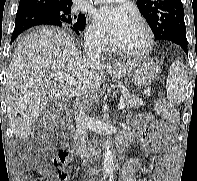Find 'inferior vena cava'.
<instances>
[{
    "label": "inferior vena cava",
    "instance_id": "inferior-vena-cava-1",
    "mask_svg": "<svg viewBox=\"0 0 197 181\" xmlns=\"http://www.w3.org/2000/svg\"><path fill=\"white\" fill-rule=\"evenodd\" d=\"M84 53L87 59L91 62L100 61L101 58V37L99 33L90 32L84 36ZM89 118L82 110L75 112V122H76V136L79 141V146L81 148L83 156H86V136L89 128L88 125ZM87 161L84 160L83 164Z\"/></svg>",
    "mask_w": 197,
    "mask_h": 181
}]
</instances>
